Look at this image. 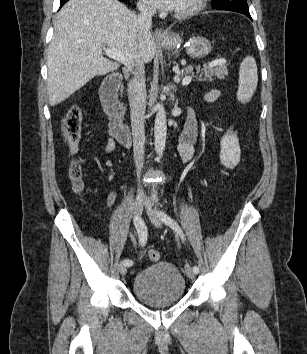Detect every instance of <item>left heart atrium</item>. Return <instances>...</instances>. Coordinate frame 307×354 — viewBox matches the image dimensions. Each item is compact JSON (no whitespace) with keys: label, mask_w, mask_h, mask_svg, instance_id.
<instances>
[{"label":"left heart atrium","mask_w":307,"mask_h":354,"mask_svg":"<svg viewBox=\"0 0 307 354\" xmlns=\"http://www.w3.org/2000/svg\"><path fill=\"white\" fill-rule=\"evenodd\" d=\"M156 8L164 11L176 10L180 0H149Z\"/></svg>","instance_id":"left-heart-atrium-1"}]
</instances>
